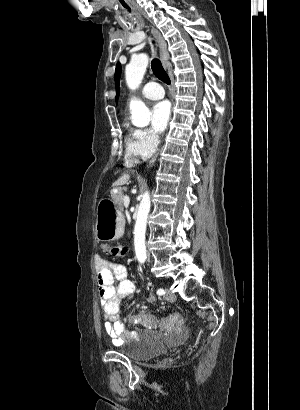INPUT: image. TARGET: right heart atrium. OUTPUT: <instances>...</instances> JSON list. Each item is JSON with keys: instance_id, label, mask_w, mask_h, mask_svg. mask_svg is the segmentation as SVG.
I'll return each instance as SVG.
<instances>
[{"instance_id": "obj_1", "label": "right heart atrium", "mask_w": 300, "mask_h": 410, "mask_svg": "<svg viewBox=\"0 0 300 410\" xmlns=\"http://www.w3.org/2000/svg\"><path fill=\"white\" fill-rule=\"evenodd\" d=\"M134 149L142 157H150L156 152L159 139L151 130L135 129L132 133Z\"/></svg>"}]
</instances>
